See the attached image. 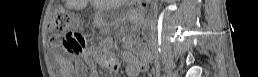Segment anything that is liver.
<instances>
[{"label": "liver", "mask_w": 258, "mask_h": 77, "mask_svg": "<svg viewBox=\"0 0 258 77\" xmlns=\"http://www.w3.org/2000/svg\"><path fill=\"white\" fill-rule=\"evenodd\" d=\"M120 2V0H90L91 5L99 10L117 6ZM68 4L73 7L85 8L88 0H68Z\"/></svg>", "instance_id": "liver-1"}]
</instances>
